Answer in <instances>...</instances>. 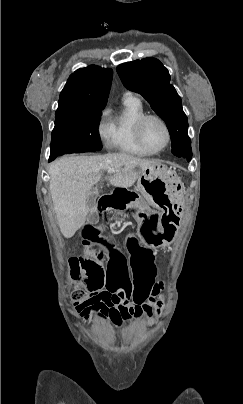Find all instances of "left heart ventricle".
I'll use <instances>...</instances> for the list:
<instances>
[{"label":"left heart ventricle","mask_w":243,"mask_h":404,"mask_svg":"<svg viewBox=\"0 0 243 404\" xmlns=\"http://www.w3.org/2000/svg\"><path fill=\"white\" fill-rule=\"evenodd\" d=\"M142 134L149 146L155 149L164 147L168 135L164 125L157 119L151 118L143 126Z\"/></svg>","instance_id":"left-heart-ventricle-1"}]
</instances>
